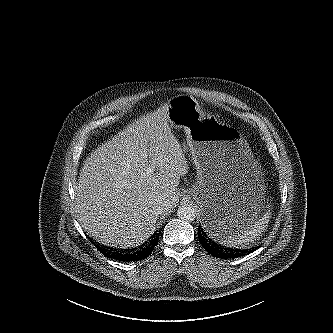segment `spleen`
<instances>
[{
    "label": "spleen",
    "instance_id": "3e777b00",
    "mask_svg": "<svg viewBox=\"0 0 333 333\" xmlns=\"http://www.w3.org/2000/svg\"><path fill=\"white\" fill-rule=\"evenodd\" d=\"M270 212L267 211L245 227L229 232L220 242L229 247H247L267 228Z\"/></svg>",
    "mask_w": 333,
    "mask_h": 333
}]
</instances>
